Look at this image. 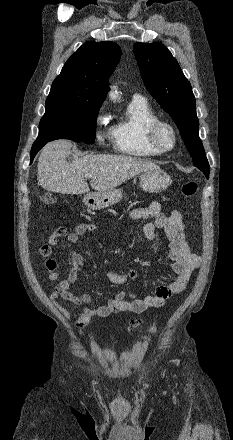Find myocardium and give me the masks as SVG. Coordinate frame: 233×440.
<instances>
[{
	"label": "myocardium",
	"mask_w": 233,
	"mask_h": 440,
	"mask_svg": "<svg viewBox=\"0 0 233 440\" xmlns=\"http://www.w3.org/2000/svg\"><path fill=\"white\" fill-rule=\"evenodd\" d=\"M163 128L168 129L172 135V145L170 147L163 146L159 141V133ZM145 138L148 145L160 153L173 150L176 147L178 140L175 127L170 122L159 118L153 120L146 126Z\"/></svg>",
	"instance_id": "obj_1"
}]
</instances>
